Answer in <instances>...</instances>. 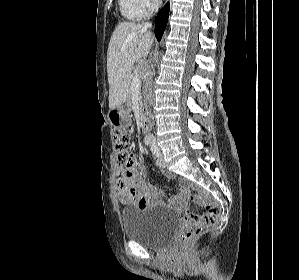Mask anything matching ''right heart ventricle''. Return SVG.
Listing matches in <instances>:
<instances>
[{
	"label": "right heart ventricle",
	"instance_id": "obj_1",
	"mask_svg": "<svg viewBox=\"0 0 299 280\" xmlns=\"http://www.w3.org/2000/svg\"><path fill=\"white\" fill-rule=\"evenodd\" d=\"M122 15L129 20H140L146 17L139 0H118Z\"/></svg>",
	"mask_w": 299,
	"mask_h": 280
}]
</instances>
